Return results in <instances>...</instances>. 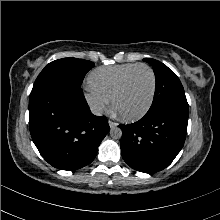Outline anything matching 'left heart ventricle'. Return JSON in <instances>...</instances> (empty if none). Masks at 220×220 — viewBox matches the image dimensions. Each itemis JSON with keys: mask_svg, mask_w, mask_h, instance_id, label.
<instances>
[{"mask_svg": "<svg viewBox=\"0 0 220 220\" xmlns=\"http://www.w3.org/2000/svg\"><path fill=\"white\" fill-rule=\"evenodd\" d=\"M152 91V77L146 68L133 72L123 92L116 100V109L124 115H134L147 105Z\"/></svg>", "mask_w": 220, "mask_h": 220, "instance_id": "1", "label": "left heart ventricle"}]
</instances>
